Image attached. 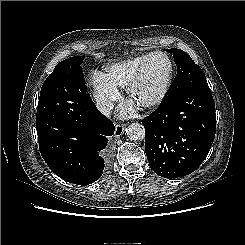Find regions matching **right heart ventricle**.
Listing matches in <instances>:
<instances>
[{
	"label": "right heart ventricle",
	"mask_w": 245,
	"mask_h": 245,
	"mask_svg": "<svg viewBox=\"0 0 245 245\" xmlns=\"http://www.w3.org/2000/svg\"><path fill=\"white\" fill-rule=\"evenodd\" d=\"M149 54L134 56L109 65L104 76L114 87L127 88Z\"/></svg>",
	"instance_id": "1"
}]
</instances>
